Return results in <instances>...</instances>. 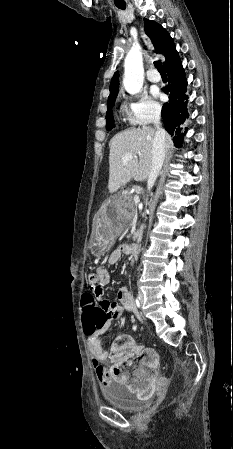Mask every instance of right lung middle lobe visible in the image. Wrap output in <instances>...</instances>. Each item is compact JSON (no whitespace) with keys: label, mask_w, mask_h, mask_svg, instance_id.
I'll list each match as a JSON object with an SVG mask.
<instances>
[{"label":"right lung middle lobe","mask_w":233,"mask_h":449,"mask_svg":"<svg viewBox=\"0 0 233 449\" xmlns=\"http://www.w3.org/2000/svg\"><path fill=\"white\" fill-rule=\"evenodd\" d=\"M117 94L108 97V107L106 115V129L110 130L114 127V119L112 115V107L114 105Z\"/></svg>","instance_id":"right-lung-middle-lobe-1"}]
</instances>
